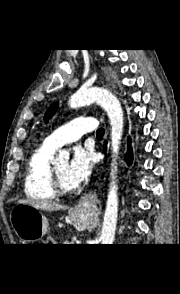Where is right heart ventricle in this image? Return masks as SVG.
I'll use <instances>...</instances> for the list:
<instances>
[{
    "label": "right heart ventricle",
    "instance_id": "obj_1",
    "mask_svg": "<svg viewBox=\"0 0 180 294\" xmlns=\"http://www.w3.org/2000/svg\"><path fill=\"white\" fill-rule=\"evenodd\" d=\"M55 151V148L43 143L30 156L24 181V191L28 197L43 201L56 198L51 188V161Z\"/></svg>",
    "mask_w": 180,
    "mask_h": 294
}]
</instances>
